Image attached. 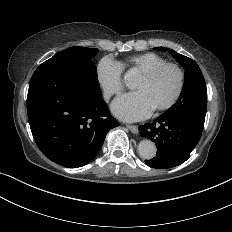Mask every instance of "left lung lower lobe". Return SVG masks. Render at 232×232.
Instances as JSON below:
<instances>
[{
	"instance_id": "obj_1",
	"label": "left lung lower lobe",
	"mask_w": 232,
	"mask_h": 232,
	"mask_svg": "<svg viewBox=\"0 0 232 232\" xmlns=\"http://www.w3.org/2000/svg\"><path fill=\"white\" fill-rule=\"evenodd\" d=\"M140 135L155 142L156 156L145 160L152 168L167 169L185 162L200 140L203 129L178 116H159L139 126Z\"/></svg>"
}]
</instances>
